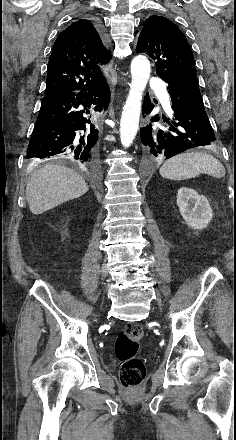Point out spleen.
I'll return each instance as SVG.
<instances>
[{
  "label": "spleen",
  "mask_w": 236,
  "mask_h": 440,
  "mask_svg": "<svg viewBox=\"0 0 236 440\" xmlns=\"http://www.w3.org/2000/svg\"><path fill=\"white\" fill-rule=\"evenodd\" d=\"M163 178L181 181L197 177L200 173L216 178L224 177L225 168L211 154L188 152L168 159L159 170Z\"/></svg>",
  "instance_id": "3e777b00"
}]
</instances>
